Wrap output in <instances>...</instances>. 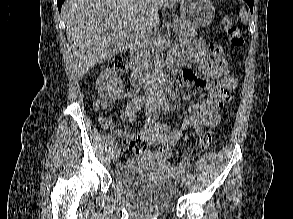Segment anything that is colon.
<instances>
[{
    "instance_id": "colon-1",
    "label": "colon",
    "mask_w": 293,
    "mask_h": 219,
    "mask_svg": "<svg viewBox=\"0 0 293 219\" xmlns=\"http://www.w3.org/2000/svg\"><path fill=\"white\" fill-rule=\"evenodd\" d=\"M225 33L227 34L229 41L234 47H241L244 44V38L237 26L236 22L231 18H225L223 22ZM211 53L215 60V63L219 67L220 70L227 73L228 72V63L224 56V50L220 45H212ZM111 66L113 69L119 72H124L127 68V62L123 58H116L111 62ZM98 107H102V103L97 104ZM103 127H109L110 122L106 119L100 120ZM213 139V132L211 129L205 130L201 136L199 141V146L201 150H205L209 147ZM174 144L171 142H166L159 147L158 154L163 159L170 158L172 154V146Z\"/></svg>"
}]
</instances>
